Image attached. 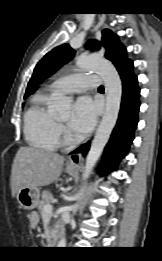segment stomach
Returning a JSON list of instances; mask_svg holds the SVG:
<instances>
[{
  "label": "stomach",
  "mask_w": 162,
  "mask_h": 261,
  "mask_svg": "<svg viewBox=\"0 0 162 261\" xmlns=\"http://www.w3.org/2000/svg\"><path fill=\"white\" fill-rule=\"evenodd\" d=\"M66 172L74 175L77 173V169L67 166ZM16 198L22 208L32 210L39 204L40 190L39 188L23 187L16 193Z\"/></svg>",
  "instance_id": "0dacf381"
}]
</instances>
